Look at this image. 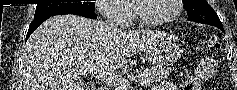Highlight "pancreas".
I'll return each instance as SVG.
<instances>
[{
	"instance_id": "obj_1",
	"label": "pancreas",
	"mask_w": 237,
	"mask_h": 90,
	"mask_svg": "<svg viewBox=\"0 0 237 90\" xmlns=\"http://www.w3.org/2000/svg\"><path fill=\"white\" fill-rule=\"evenodd\" d=\"M169 76V72L165 70V67L147 68V70H138V78L140 80H149L146 84H153L158 80H165Z\"/></svg>"
}]
</instances>
